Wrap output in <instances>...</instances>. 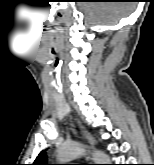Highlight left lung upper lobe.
Segmentation results:
<instances>
[{
	"label": "left lung upper lobe",
	"mask_w": 154,
	"mask_h": 165,
	"mask_svg": "<svg viewBox=\"0 0 154 165\" xmlns=\"http://www.w3.org/2000/svg\"><path fill=\"white\" fill-rule=\"evenodd\" d=\"M33 165H48L46 159V150L40 152V154L35 159Z\"/></svg>",
	"instance_id": "obj_1"
}]
</instances>
